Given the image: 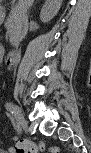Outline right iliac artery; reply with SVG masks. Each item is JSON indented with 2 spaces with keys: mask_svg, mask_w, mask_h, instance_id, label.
Listing matches in <instances>:
<instances>
[{
  "mask_svg": "<svg viewBox=\"0 0 91 153\" xmlns=\"http://www.w3.org/2000/svg\"><path fill=\"white\" fill-rule=\"evenodd\" d=\"M5 108H6L7 111H9V112H11L13 114L12 104L11 103H6Z\"/></svg>",
  "mask_w": 91,
  "mask_h": 153,
  "instance_id": "obj_1",
  "label": "right iliac artery"
}]
</instances>
